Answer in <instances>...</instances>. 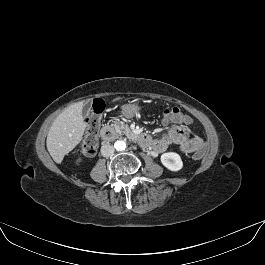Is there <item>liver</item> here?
<instances>
[{
	"instance_id": "1",
	"label": "liver",
	"mask_w": 265,
	"mask_h": 265,
	"mask_svg": "<svg viewBox=\"0 0 265 265\" xmlns=\"http://www.w3.org/2000/svg\"><path fill=\"white\" fill-rule=\"evenodd\" d=\"M83 102L66 108L52 123L47 135V149L56 163L72 151L82 140L86 128L82 116Z\"/></svg>"
}]
</instances>
